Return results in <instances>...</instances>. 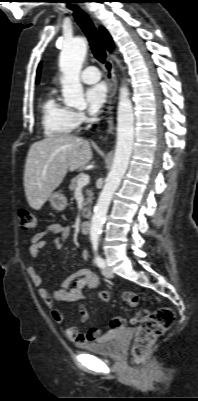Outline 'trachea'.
I'll return each instance as SVG.
<instances>
[{
  "label": "trachea",
  "mask_w": 198,
  "mask_h": 401,
  "mask_svg": "<svg viewBox=\"0 0 198 401\" xmlns=\"http://www.w3.org/2000/svg\"><path fill=\"white\" fill-rule=\"evenodd\" d=\"M68 2L71 1L69 0ZM69 8L73 10V16L76 22L87 36L94 57L99 62L104 63L106 60V52L100 35L93 25V22L91 21L89 16L78 6L69 5Z\"/></svg>",
  "instance_id": "3493384b"
}]
</instances>
